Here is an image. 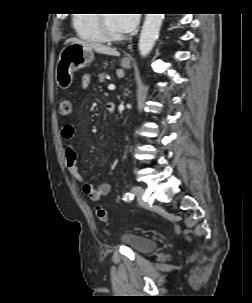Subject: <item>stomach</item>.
I'll use <instances>...</instances> for the list:
<instances>
[{
    "instance_id": "1",
    "label": "stomach",
    "mask_w": 252,
    "mask_h": 303,
    "mask_svg": "<svg viewBox=\"0 0 252 303\" xmlns=\"http://www.w3.org/2000/svg\"><path fill=\"white\" fill-rule=\"evenodd\" d=\"M94 58L93 50L80 43H70L66 45L59 54L55 69V80L63 90L68 89L73 83V72L81 69L92 62ZM121 66L125 69L131 67L128 58L121 60Z\"/></svg>"
}]
</instances>
